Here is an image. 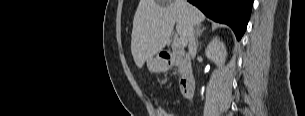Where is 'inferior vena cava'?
<instances>
[{"instance_id": "602c4592", "label": "inferior vena cava", "mask_w": 305, "mask_h": 116, "mask_svg": "<svg viewBox=\"0 0 305 116\" xmlns=\"http://www.w3.org/2000/svg\"><path fill=\"white\" fill-rule=\"evenodd\" d=\"M188 50H189V54L191 55V57L193 59L196 54V41H195L194 32H193L192 28H190V30H189Z\"/></svg>"}]
</instances>
